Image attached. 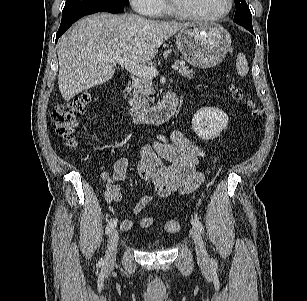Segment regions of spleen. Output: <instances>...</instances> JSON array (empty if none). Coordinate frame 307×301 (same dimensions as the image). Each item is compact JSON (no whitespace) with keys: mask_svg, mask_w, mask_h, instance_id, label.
I'll return each mask as SVG.
<instances>
[{"mask_svg":"<svg viewBox=\"0 0 307 301\" xmlns=\"http://www.w3.org/2000/svg\"><path fill=\"white\" fill-rule=\"evenodd\" d=\"M236 68L240 76H245L249 71L248 63L243 53H240L237 57Z\"/></svg>","mask_w":307,"mask_h":301,"instance_id":"obj_1","label":"spleen"}]
</instances>
